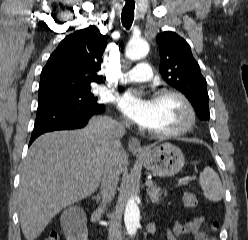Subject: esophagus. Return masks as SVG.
<instances>
[{
	"instance_id": "obj_1",
	"label": "esophagus",
	"mask_w": 248,
	"mask_h": 240,
	"mask_svg": "<svg viewBox=\"0 0 248 240\" xmlns=\"http://www.w3.org/2000/svg\"><path fill=\"white\" fill-rule=\"evenodd\" d=\"M128 148L133 154H144L145 150L142 148L140 140L132 137L128 142Z\"/></svg>"
}]
</instances>
